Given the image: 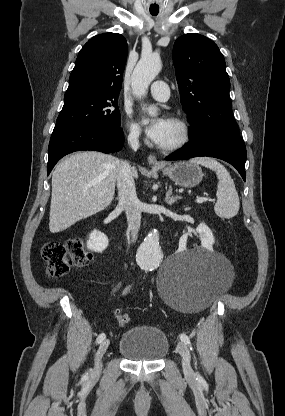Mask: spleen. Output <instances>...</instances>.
<instances>
[{
  "mask_svg": "<svg viewBox=\"0 0 285 416\" xmlns=\"http://www.w3.org/2000/svg\"><path fill=\"white\" fill-rule=\"evenodd\" d=\"M190 162L191 164H201V166L216 172L218 186L214 212L219 218H227V220L234 218L239 212L240 202L235 184L226 168L219 162H216L215 158H192Z\"/></svg>",
  "mask_w": 285,
  "mask_h": 416,
  "instance_id": "3e777b00",
  "label": "spleen"
}]
</instances>
